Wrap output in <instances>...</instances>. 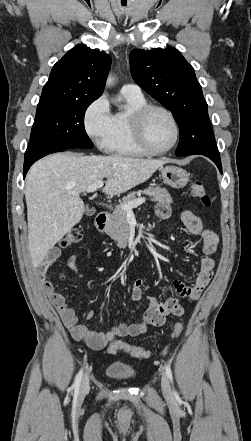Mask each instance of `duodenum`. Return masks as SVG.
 Instances as JSON below:
<instances>
[{"label": "duodenum", "instance_id": "duodenum-1", "mask_svg": "<svg viewBox=\"0 0 251 441\" xmlns=\"http://www.w3.org/2000/svg\"><path fill=\"white\" fill-rule=\"evenodd\" d=\"M109 218L110 214L108 212L104 211L97 214L95 218V225L100 232H106Z\"/></svg>", "mask_w": 251, "mask_h": 441}]
</instances>
